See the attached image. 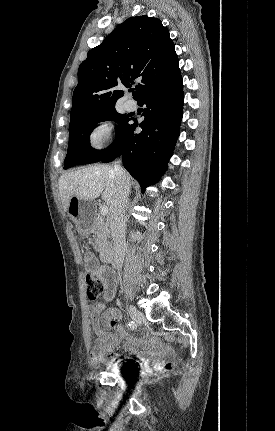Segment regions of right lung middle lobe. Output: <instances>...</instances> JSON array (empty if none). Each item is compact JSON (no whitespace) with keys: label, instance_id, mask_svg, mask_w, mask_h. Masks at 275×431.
I'll return each instance as SVG.
<instances>
[{"label":"right lung middle lobe","instance_id":"1","mask_svg":"<svg viewBox=\"0 0 275 431\" xmlns=\"http://www.w3.org/2000/svg\"><path fill=\"white\" fill-rule=\"evenodd\" d=\"M106 120H114L118 123L116 140L107 149L98 151L90 146L89 135L97 123ZM130 120L131 118L128 115L119 114L115 107H111L70 122L68 152L65 158L64 169L75 165L99 162L121 139Z\"/></svg>","mask_w":275,"mask_h":431}]
</instances>
